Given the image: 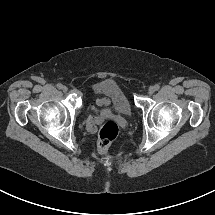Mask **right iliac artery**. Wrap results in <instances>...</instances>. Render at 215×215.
Listing matches in <instances>:
<instances>
[{
  "instance_id": "1",
  "label": "right iliac artery",
  "mask_w": 215,
  "mask_h": 215,
  "mask_svg": "<svg viewBox=\"0 0 215 215\" xmlns=\"http://www.w3.org/2000/svg\"><path fill=\"white\" fill-rule=\"evenodd\" d=\"M62 86H63V85H62L61 83H58V84H57V88H58V89H61Z\"/></svg>"
}]
</instances>
